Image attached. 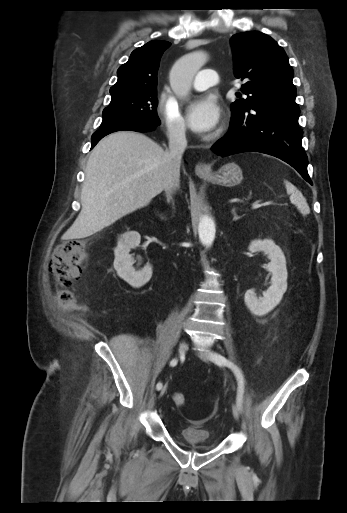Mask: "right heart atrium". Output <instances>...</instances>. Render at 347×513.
<instances>
[{
	"mask_svg": "<svg viewBox=\"0 0 347 513\" xmlns=\"http://www.w3.org/2000/svg\"><path fill=\"white\" fill-rule=\"evenodd\" d=\"M157 114L165 127L167 135L173 141H182L186 137V124L176 101L164 90L157 100Z\"/></svg>",
	"mask_w": 347,
	"mask_h": 513,
	"instance_id": "d8ad5b80",
	"label": "right heart atrium"
}]
</instances>
